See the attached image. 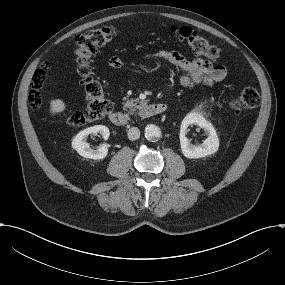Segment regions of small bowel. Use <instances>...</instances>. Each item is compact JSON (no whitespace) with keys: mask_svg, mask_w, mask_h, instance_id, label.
<instances>
[{"mask_svg":"<svg viewBox=\"0 0 285 285\" xmlns=\"http://www.w3.org/2000/svg\"><path fill=\"white\" fill-rule=\"evenodd\" d=\"M141 60L144 63L151 60L168 62L177 71L180 84L186 88L195 86L210 87L222 82L227 76V68L224 65H212L201 58L188 60L181 53L174 50L159 49L144 54ZM110 65L113 69H118L122 66V62L118 58H113Z\"/></svg>","mask_w":285,"mask_h":285,"instance_id":"obj_1","label":"small bowel"}]
</instances>
